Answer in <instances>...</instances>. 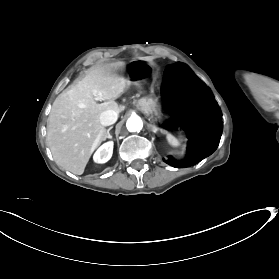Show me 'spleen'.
I'll return each mask as SVG.
<instances>
[{
  "instance_id": "spleen-1",
  "label": "spleen",
  "mask_w": 279,
  "mask_h": 279,
  "mask_svg": "<svg viewBox=\"0 0 279 279\" xmlns=\"http://www.w3.org/2000/svg\"><path fill=\"white\" fill-rule=\"evenodd\" d=\"M168 139L173 145H178L180 142V138L173 135H168Z\"/></svg>"
}]
</instances>
